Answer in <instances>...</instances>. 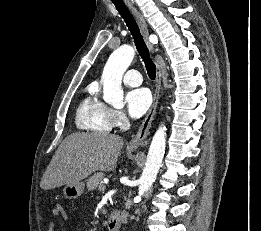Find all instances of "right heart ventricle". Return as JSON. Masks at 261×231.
Here are the masks:
<instances>
[{
  "label": "right heart ventricle",
  "mask_w": 261,
  "mask_h": 231,
  "mask_svg": "<svg viewBox=\"0 0 261 231\" xmlns=\"http://www.w3.org/2000/svg\"><path fill=\"white\" fill-rule=\"evenodd\" d=\"M111 109L98 98L97 92L90 91L80 102L75 115L78 129L100 133H108L113 125Z\"/></svg>",
  "instance_id": "obj_1"
}]
</instances>
